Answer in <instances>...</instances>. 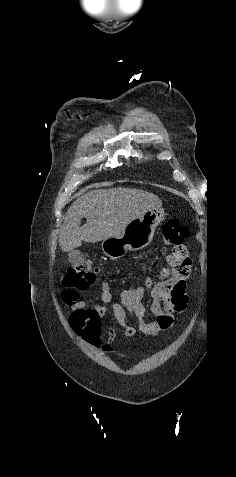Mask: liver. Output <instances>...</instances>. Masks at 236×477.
Returning <instances> with one entry per match:
<instances>
[{
  "label": "liver",
  "instance_id": "liver-1",
  "mask_svg": "<svg viewBox=\"0 0 236 477\" xmlns=\"http://www.w3.org/2000/svg\"><path fill=\"white\" fill-rule=\"evenodd\" d=\"M162 201L154 194L130 188L92 190L69 207L59 232L64 252L120 235L125 227L145 212L160 208ZM86 223L80 227L81 219Z\"/></svg>",
  "mask_w": 236,
  "mask_h": 477
}]
</instances>
